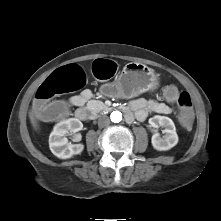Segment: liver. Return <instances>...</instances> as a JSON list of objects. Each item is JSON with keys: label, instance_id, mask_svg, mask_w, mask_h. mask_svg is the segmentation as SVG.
Masks as SVG:
<instances>
[{"label": "liver", "instance_id": "liver-1", "mask_svg": "<svg viewBox=\"0 0 221 221\" xmlns=\"http://www.w3.org/2000/svg\"><path fill=\"white\" fill-rule=\"evenodd\" d=\"M37 116H38L37 109L33 107L32 110L29 112V117L31 120V124L35 130H38L39 128L38 123H37Z\"/></svg>", "mask_w": 221, "mask_h": 221}]
</instances>
